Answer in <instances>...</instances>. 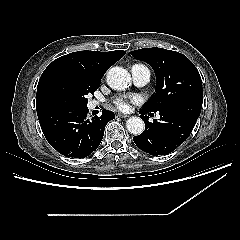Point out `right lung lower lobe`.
Segmentation results:
<instances>
[{
	"mask_svg": "<svg viewBox=\"0 0 240 240\" xmlns=\"http://www.w3.org/2000/svg\"><path fill=\"white\" fill-rule=\"evenodd\" d=\"M87 107H55L38 117L48 143L60 154L84 158L99 146L106 124L115 118L109 110L101 117L87 118Z\"/></svg>",
	"mask_w": 240,
	"mask_h": 240,
	"instance_id": "obj_1",
	"label": "right lung lower lobe"
}]
</instances>
